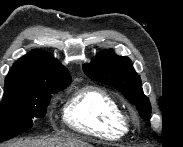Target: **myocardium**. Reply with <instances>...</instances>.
Segmentation results:
<instances>
[{
	"mask_svg": "<svg viewBox=\"0 0 183 147\" xmlns=\"http://www.w3.org/2000/svg\"><path fill=\"white\" fill-rule=\"evenodd\" d=\"M118 119L119 122L126 127L132 122L131 115L123 111L120 112Z\"/></svg>",
	"mask_w": 183,
	"mask_h": 147,
	"instance_id": "myocardium-1",
	"label": "myocardium"
}]
</instances>
